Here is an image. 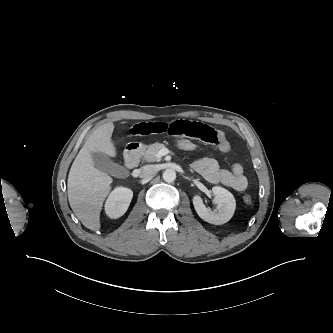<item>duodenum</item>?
Returning <instances> with one entry per match:
<instances>
[{"instance_id":"1","label":"duodenum","mask_w":333,"mask_h":333,"mask_svg":"<svg viewBox=\"0 0 333 333\" xmlns=\"http://www.w3.org/2000/svg\"><path fill=\"white\" fill-rule=\"evenodd\" d=\"M139 149L140 146L137 143H132L126 148L124 155V165L128 169H133L138 165Z\"/></svg>"}]
</instances>
